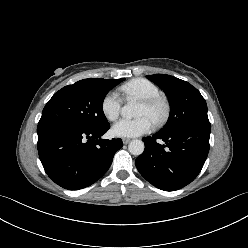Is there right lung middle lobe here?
Masks as SVG:
<instances>
[{"instance_id":"dd1d6c3e","label":"right lung middle lobe","mask_w":248,"mask_h":248,"mask_svg":"<svg viewBox=\"0 0 248 248\" xmlns=\"http://www.w3.org/2000/svg\"><path fill=\"white\" fill-rule=\"evenodd\" d=\"M121 79L80 80L56 92L43 109L39 123L65 121L92 129L109 125L103 113L107 93Z\"/></svg>"}]
</instances>
